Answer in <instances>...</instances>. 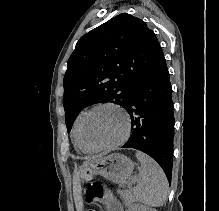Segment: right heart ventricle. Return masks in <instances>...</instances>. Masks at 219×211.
<instances>
[{
    "label": "right heart ventricle",
    "mask_w": 219,
    "mask_h": 211,
    "mask_svg": "<svg viewBox=\"0 0 219 211\" xmlns=\"http://www.w3.org/2000/svg\"><path fill=\"white\" fill-rule=\"evenodd\" d=\"M83 113H80L75 121H74V124H73V127H72V137H73V141H74V144L77 148H79L80 150H82L83 152H86V153H91L93 150L89 149L88 147H86L80 140V137H79V123H80V120H81V117H82Z\"/></svg>",
    "instance_id": "right-heart-ventricle-1"
}]
</instances>
